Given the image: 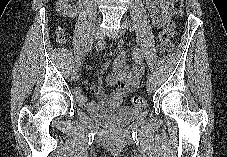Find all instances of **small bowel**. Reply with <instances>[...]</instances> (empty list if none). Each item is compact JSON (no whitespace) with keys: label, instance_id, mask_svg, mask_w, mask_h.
<instances>
[{"label":"small bowel","instance_id":"c3829d8e","mask_svg":"<svg viewBox=\"0 0 227 157\" xmlns=\"http://www.w3.org/2000/svg\"><path fill=\"white\" fill-rule=\"evenodd\" d=\"M171 0H145L146 8L151 16L153 25L159 31L172 32L171 27ZM133 66L129 70L125 54L120 52L113 63V73L105 78L110 86H116L114 92L107 95L102 88V79L109 63H103L96 69L98 82L91 86V92L99 99V102H90L83 94L81 87L74 88V94L78 104L87 111H94L111 105H118L132 91H134L144 73L143 54L140 49L132 50Z\"/></svg>","mask_w":227,"mask_h":157}]
</instances>
